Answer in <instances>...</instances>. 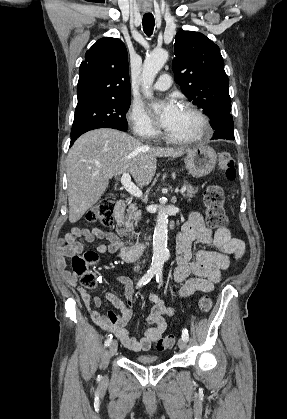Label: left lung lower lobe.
<instances>
[{"label":"left lung lower lobe","instance_id":"obj_1","mask_svg":"<svg viewBox=\"0 0 287 419\" xmlns=\"http://www.w3.org/2000/svg\"><path fill=\"white\" fill-rule=\"evenodd\" d=\"M211 139H235L233 134V120L231 114L225 116L223 122L215 129V132Z\"/></svg>","mask_w":287,"mask_h":419}]
</instances>
